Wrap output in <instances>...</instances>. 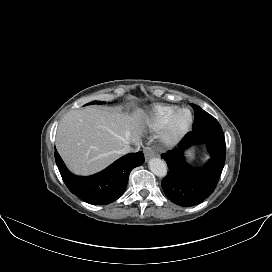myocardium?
<instances>
[{
	"mask_svg": "<svg viewBox=\"0 0 272 272\" xmlns=\"http://www.w3.org/2000/svg\"><path fill=\"white\" fill-rule=\"evenodd\" d=\"M182 112L188 113V118L186 122L181 127L175 126V121L178 115ZM193 124V114L192 111L187 107L177 108L167 119L165 124L160 130L159 141L163 146L172 147L178 144L185 135L191 129Z\"/></svg>",
	"mask_w": 272,
	"mask_h": 272,
	"instance_id": "obj_1",
	"label": "myocardium"
}]
</instances>
